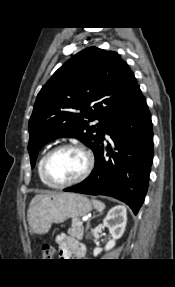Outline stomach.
Segmentation results:
<instances>
[{
  "label": "stomach",
  "instance_id": "obj_1",
  "mask_svg": "<svg viewBox=\"0 0 175 287\" xmlns=\"http://www.w3.org/2000/svg\"><path fill=\"white\" fill-rule=\"evenodd\" d=\"M92 210L90 200L77 193H58L47 196L28 211V224L32 232L46 234L53 223H63L68 218L78 219Z\"/></svg>",
  "mask_w": 175,
  "mask_h": 287
}]
</instances>
